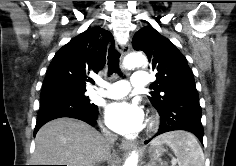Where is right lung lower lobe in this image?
Wrapping results in <instances>:
<instances>
[{
    "label": "right lung lower lobe",
    "mask_w": 236,
    "mask_h": 166,
    "mask_svg": "<svg viewBox=\"0 0 236 166\" xmlns=\"http://www.w3.org/2000/svg\"><path fill=\"white\" fill-rule=\"evenodd\" d=\"M61 117L76 118L90 125H95L97 123V109L91 110L82 107H57L53 110H40L34 129V136L45 123Z\"/></svg>",
    "instance_id": "98d812e1"
}]
</instances>
